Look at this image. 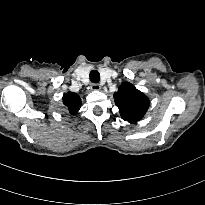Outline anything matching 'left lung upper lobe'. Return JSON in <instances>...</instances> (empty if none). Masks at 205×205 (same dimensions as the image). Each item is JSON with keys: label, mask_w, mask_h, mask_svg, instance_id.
I'll return each instance as SVG.
<instances>
[{"label": "left lung upper lobe", "mask_w": 205, "mask_h": 205, "mask_svg": "<svg viewBox=\"0 0 205 205\" xmlns=\"http://www.w3.org/2000/svg\"><path fill=\"white\" fill-rule=\"evenodd\" d=\"M115 105L119 108L123 120L136 123L141 120L149 108V99L134 85L124 82L114 93Z\"/></svg>", "instance_id": "5c2ea615"}]
</instances>
